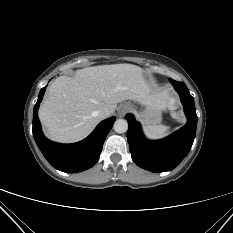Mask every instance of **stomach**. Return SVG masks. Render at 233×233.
I'll return each mask as SVG.
<instances>
[{"label":"stomach","mask_w":233,"mask_h":233,"mask_svg":"<svg viewBox=\"0 0 233 233\" xmlns=\"http://www.w3.org/2000/svg\"><path fill=\"white\" fill-rule=\"evenodd\" d=\"M140 108L128 104L130 111L134 112L146 126L157 125L162 120L161 110L152 103L139 102Z\"/></svg>","instance_id":"stomach-1"}]
</instances>
